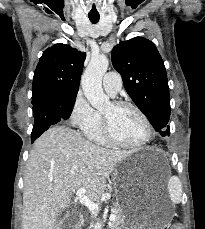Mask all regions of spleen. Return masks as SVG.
Segmentation results:
<instances>
[{
	"mask_svg": "<svg viewBox=\"0 0 205 229\" xmlns=\"http://www.w3.org/2000/svg\"><path fill=\"white\" fill-rule=\"evenodd\" d=\"M168 192L174 204H179L182 200V184L177 176H172L168 181Z\"/></svg>",
	"mask_w": 205,
	"mask_h": 229,
	"instance_id": "obj_1",
	"label": "spleen"
}]
</instances>
